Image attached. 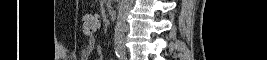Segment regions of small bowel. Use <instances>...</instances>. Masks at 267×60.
<instances>
[{
    "instance_id": "c3829d8e",
    "label": "small bowel",
    "mask_w": 267,
    "mask_h": 60,
    "mask_svg": "<svg viewBox=\"0 0 267 60\" xmlns=\"http://www.w3.org/2000/svg\"><path fill=\"white\" fill-rule=\"evenodd\" d=\"M84 58L88 59L91 55H97L99 59H102V50L98 43V38L95 33H91L88 37V42L83 50ZM113 58H111L112 60Z\"/></svg>"
}]
</instances>
